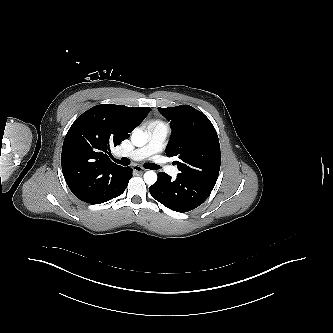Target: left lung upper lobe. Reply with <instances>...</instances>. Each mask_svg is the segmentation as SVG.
<instances>
[{"label":"left lung upper lobe","instance_id":"obj_1","mask_svg":"<svg viewBox=\"0 0 333 333\" xmlns=\"http://www.w3.org/2000/svg\"><path fill=\"white\" fill-rule=\"evenodd\" d=\"M170 121L172 133L165 149L176 157L177 176L215 185L220 170V144L211 121L189 105L158 108Z\"/></svg>","mask_w":333,"mask_h":333}]
</instances>
